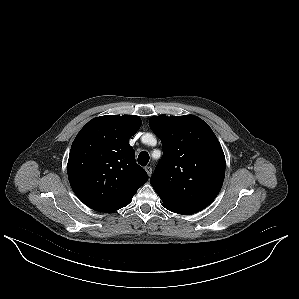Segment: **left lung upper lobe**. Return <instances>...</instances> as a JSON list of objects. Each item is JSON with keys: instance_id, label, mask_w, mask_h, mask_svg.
<instances>
[{"instance_id": "obj_1", "label": "left lung upper lobe", "mask_w": 299, "mask_h": 299, "mask_svg": "<svg viewBox=\"0 0 299 299\" xmlns=\"http://www.w3.org/2000/svg\"><path fill=\"white\" fill-rule=\"evenodd\" d=\"M149 124L163 147L150 183L165 208L195 213L207 207L225 177V156L214 132L193 115L153 116Z\"/></svg>"}]
</instances>
